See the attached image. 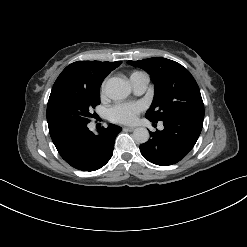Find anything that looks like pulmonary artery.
Returning <instances> with one entry per match:
<instances>
[{"instance_id": "obj_1", "label": "pulmonary artery", "mask_w": 247, "mask_h": 247, "mask_svg": "<svg viewBox=\"0 0 247 247\" xmlns=\"http://www.w3.org/2000/svg\"><path fill=\"white\" fill-rule=\"evenodd\" d=\"M148 82V76L144 73H137L130 77L132 90L137 95H141L146 91ZM160 128H162V126H160Z\"/></svg>"}]
</instances>
